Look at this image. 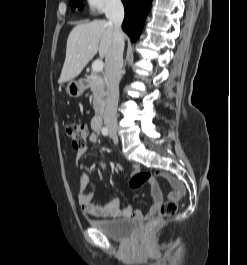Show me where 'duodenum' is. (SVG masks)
I'll return each mask as SVG.
<instances>
[{"mask_svg":"<svg viewBox=\"0 0 247 265\" xmlns=\"http://www.w3.org/2000/svg\"><path fill=\"white\" fill-rule=\"evenodd\" d=\"M103 119H104V109L99 114L95 115L92 120V126L95 131H99L101 129Z\"/></svg>","mask_w":247,"mask_h":265,"instance_id":"1","label":"duodenum"}]
</instances>
